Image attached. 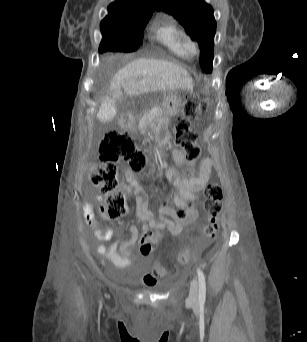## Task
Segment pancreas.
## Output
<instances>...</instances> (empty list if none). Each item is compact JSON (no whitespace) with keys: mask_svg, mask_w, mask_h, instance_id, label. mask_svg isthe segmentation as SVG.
<instances>
[{"mask_svg":"<svg viewBox=\"0 0 307 342\" xmlns=\"http://www.w3.org/2000/svg\"><path fill=\"white\" fill-rule=\"evenodd\" d=\"M150 111L151 112L149 114H144V116L140 118L138 124V128H140V130H143V128H145L148 118L159 119L161 117V114L159 112H162V108H160V106L152 107Z\"/></svg>","mask_w":307,"mask_h":342,"instance_id":"obj_1","label":"pancreas"}]
</instances>
